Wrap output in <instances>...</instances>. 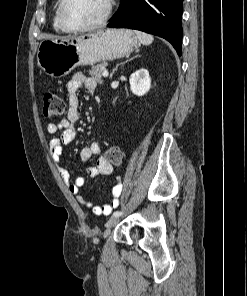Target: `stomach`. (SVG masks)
I'll return each instance as SVG.
<instances>
[{"label":"stomach","instance_id":"0dacf381","mask_svg":"<svg viewBox=\"0 0 247 296\" xmlns=\"http://www.w3.org/2000/svg\"><path fill=\"white\" fill-rule=\"evenodd\" d=\"M130 30L108 29L69 38H47L40 42L37 61L46 74L61 78L80 65H94L130 55L139 47Z\"/></svg>","mask_w":247,"mask_h":296}]
</instances>
